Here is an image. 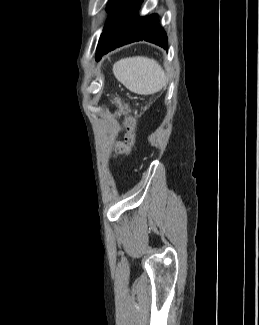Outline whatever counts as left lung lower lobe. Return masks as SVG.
I'll list each match as a JSON object with an SVG mask.
<instances>
[{"label": "left lung lower lobe", "instance_id": "0a47b994", "mask_svg": "<svg viewBox=\"0 0 259 325\" xmlns=\"http://www.w3.org/2000/svg\"><path fill=\"white\" fill-rule=\"evenodd\" d=\"M142 0H124L111 17L102 38L100 58L115 48L145 40L167 49V36L158 23V15L139 17Z\"/></svg>", "mask_w": 259, "mask_h": 325}]
</instances>
